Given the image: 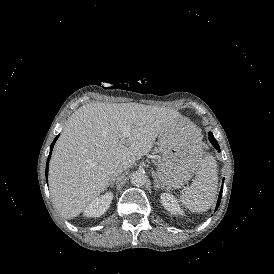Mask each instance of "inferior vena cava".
I'll use <instances>...</instances> for the list:
<instances>
[{
    "label": "inferior vena cava",
    "instance_id": "602c4592",
    "mask_svg": "<svg viewBox=\"0 0 274 274\" xmlns=\"http://www.w3.org/2000/svg\"><path fill=\"white\" fill-rule=\"evenodd\" d=\"M125 170H126V167H124V166H118L117 170H116V176H119Z\"/></svg>",
    "mask_w": 274,
    "mask_h": 274
}]
</instances>
